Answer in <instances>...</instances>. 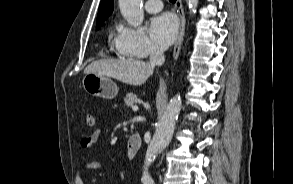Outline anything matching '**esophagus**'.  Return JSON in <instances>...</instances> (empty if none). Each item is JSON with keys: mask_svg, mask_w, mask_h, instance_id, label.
<instances>
[{"mask_svg": "<svg viewBox=\"0 0 293 184\" xmlns=\"http://www.w3.org/2000/svg\"><path fill=\"white\" fill-rule=\"evenodd\" d=\"M175 8L179 17V22H180V28H179V34L177 36L174 49H173V60L176 61L179 57L180 50H181V45L184 39V34H185V24H186V19H185V14L182 6V0H177L175 4Z\"/></svg>", "mask_w": 293, "mask_h": 184, "instance_id": "esophagus-1", "label": "esophagus"}]
</instances>
